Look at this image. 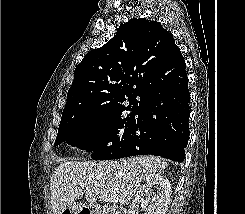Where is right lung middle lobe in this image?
<instances>
[{"label":"right lung middle lobe","instance_id":"1","mask_svg":"<svg viewBox=\"0 0 245 214\" xmlns=\"http://www.w3.org/2000/svg\"><path fill=\"white\" fill-rule=\"evenodd\" d=\"M126 118L121 113L98 116L93 113L62 115L58 135L54 145L67 141L68 144L87 152L95 160H111L127 142L128 128L135 117ZM115 152V153H113Z\"/></svg>","mask_w":245,"mask_h":214}]
</instances>
